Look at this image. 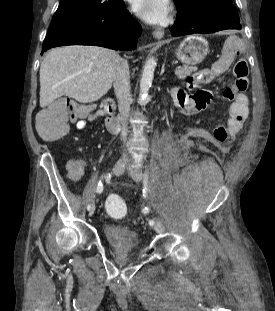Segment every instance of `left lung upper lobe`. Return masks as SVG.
<instances>
[{"instance_id":"5c2ea615","label":"left lung upper lobe","mask_w":275,"mask_h":311,"mask_svg":"<svg viewBox=\"0 0 275 311\" xmlns=\"http://www.w3.org/2000/svg\"><path fill=\"white\" fill-rule=\"evenodd\" d=\"M177 9L185 11L202 4L225 5L232 9L238 15L236 7L231 0H173Z\"/></svg>"}]
</instances>
